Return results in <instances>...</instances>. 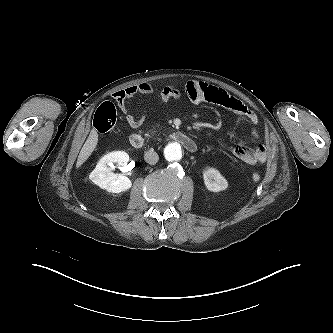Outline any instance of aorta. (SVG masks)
Segmentation results:
<instances>
[{"label": "aorta", "mask_w": 333, "mask_h": 333, "mask_svg": "<svg viewBox=\"0 0 333 333\" xmlns=\"http://www.w3.org/2000/svg\"><path fill=\"white\" fill-rule=\"evenodd\" d=\"M165 158L168 161H178L182 158V148L178 142L168 144L164 150Z\"/></svg>", "instance_id": "obj_1"}]
</instances>
